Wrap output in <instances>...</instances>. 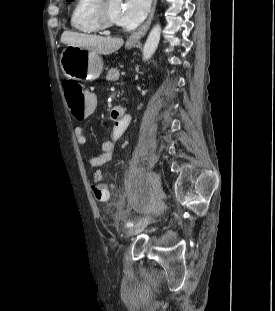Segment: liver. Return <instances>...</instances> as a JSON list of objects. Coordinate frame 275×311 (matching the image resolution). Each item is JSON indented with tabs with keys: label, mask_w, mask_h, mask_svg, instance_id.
<instances>
[{
	"label": "liver",
	"mask_w": 275,
	"mask_h": 311,
	"mask_svg": "<svg viewBox=\"0 0 275 311\" xmlns=\"http://www.w3.org/2000/svg\"><path fill=\"white\" fill-rule=\"evenodd\" d=\"M61 42L70 46L87 48L99 55L112 54L120 49L124 43L122 38L102 37L70 31L63 32Z\"/></svg>",
	"instance_id": "1"
}]
</instances>
